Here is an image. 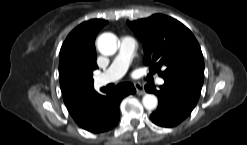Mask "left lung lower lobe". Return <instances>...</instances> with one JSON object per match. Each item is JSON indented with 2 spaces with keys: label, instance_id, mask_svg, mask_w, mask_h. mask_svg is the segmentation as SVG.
Here are the masks:
<instances>
[{
  "label": "left lung lower lobe",
  "instance_id": "left-lung-lower-lobe-1",
  "mask_svg": "<svg viewBox=\"0 0 247 145\" xmlns=\"http://www.w3.org/2000/svg\"><path fill=\"white\" fill-rule=\"evenodd\" d=\"M164 85L156 90L146 85L147 92L158 96L159 105L150 118L156 125L173 127L181 123L196 106L201 88L180 79H164Z\"/></svg>",
  "mask_w": 247,
  "mask_h": 145
}]
</instances>
